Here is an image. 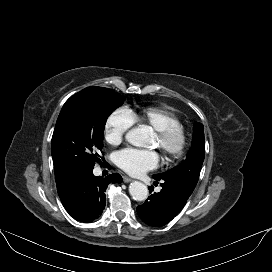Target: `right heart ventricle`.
Returning <instances> with one entry per match:
<instances>
[{
	"mask_svg": "<svg viewBox=\"0 0 272 272\" xmlns=\"http://www.w3.org/2000/svg\"><path fill=\"white\" fill-rule=\"evenodd\" d=\"M134 124L147 126L153 131L182 126V120L173 112L157 106H148L138 110L127 109Z\"/></svg>",
	"mask_w": 272,
	"mask_h": 272,
	"instance_id": "e07e8e85",
	"label": "right heart ventricle"
}]
</instances>
